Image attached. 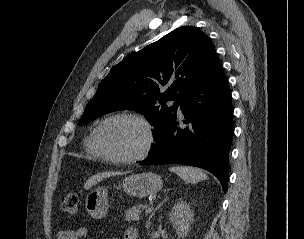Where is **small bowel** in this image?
Instances as JSON below:
<instances>
[{
  "label": "small bowel",
  "instance_id": "c3829d8e",
  "mask_svg": "<svg viewBox=\"0 0 304 239\" xmlns=\"http://www.w3.org/2000/svg\"><path fill=\"white\" fill-rule=\"evenodd\" d=\"M93 239L85 228L78 229H62L57 233V239ZM116 239V238H112ZM123 239H137V231L135 228H128L125 230Z\"/></svg>",
  "mask_w": 304,
  "mask_h": 239
}]
</instances>
